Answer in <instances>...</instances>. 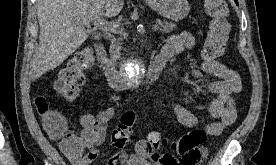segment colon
Segmentation results:
<instances>
[{
	"mask_svg": "<svg viewBox=\"0 0 276 165\" xmlns=\"http://www.w3.org/2000/svg\"><path fill=\"white\" fill-rule=\"evenodd\" d=\"M204 10L210 18V23L202 54L207 60H215L223 54L230 33L229 8L225 0H204ZM93 64L94 54L91 48L84 47L77 51L55 83L57 94L66 100H74L85 81V72ZM34 102L47 132L53 137L61 138V148L64 151L76 152L79 144L67 131L64 116L53 109L43 96L36 97ZM134 120V112L128 111L123 114L120 125L111 134V143L114 147L122 149L130 143ZM206 138L205 131L194 129L173 142L171 147L181 156L193 157L202 149ZM167 144V140L160 133L151 132L146 139L137 144V149L153 155L156 150Z\"/></svg>",
	"mask_w": 276,
	"mask_h": 165,
	"instance_id": "colon-1",
	"label": "colon"
}]
</instances>
